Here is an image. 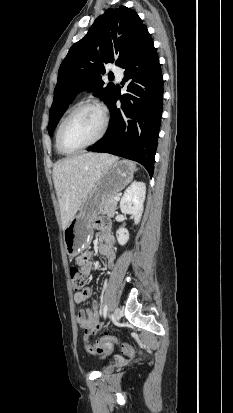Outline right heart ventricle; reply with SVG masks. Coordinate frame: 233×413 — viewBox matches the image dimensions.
<instances>
[{"label":"right heart ventricle","mask_w":233,"mask_h":413,"mask_svg":"<svg viewBox=\"0 0 233 413\" xmlns=\"http://www.w3.org/2000/svg\"><path fill=\"white\" fill-rule=\"evenodd\" d=\"M71 109H72V107H70V108L66 111V113H65V114L63 115V117L61 118V120H60V122H59V124H58V127H57V131H56V135H55V145H56V149H57V151H58L59 153H61V151L59 150L58 145H57V133H58V130H59V127H60L62 121H63L64 118L67 116V114L71 111Z\"/></svg>","instance_id":"e07e8e85"}]
</instances>
